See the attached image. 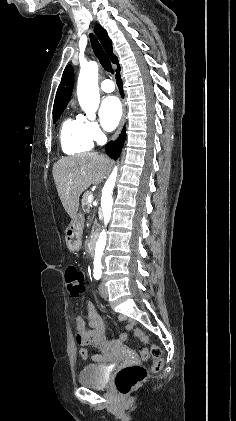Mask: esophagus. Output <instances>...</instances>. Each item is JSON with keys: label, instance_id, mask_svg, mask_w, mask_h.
I'll list each match as a JSON object with an SVG mask.
<instances>
[{"label": "esophagus", "instance_id": "obj_1", "mask_svg": "<svg viewBox=\"0 0 236 421\" xmlns=\"http://www.w3.org/2000/svg\"><path fill=\"white\" fill-rule=\"evenodd\" d=\"M125 119H126V105H125V103L123 102V115H122V120H121V124H120V127H119V129H118V131H117V133H116L115 138H117V137H118V135H119V133H120V131H121V129H122V127H123V125H124Z\"/></svg>", "mask_w": 236, "mask_h": 421}]
</instances>
